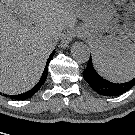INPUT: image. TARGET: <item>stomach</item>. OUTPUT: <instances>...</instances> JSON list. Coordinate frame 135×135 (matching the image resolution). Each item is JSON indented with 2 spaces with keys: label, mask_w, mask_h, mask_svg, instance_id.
<instances>
[{
  "label": "stomach",
  "mask_w": 135,
  "mask_h": 135,
  "mask_svg": "<svg viewBox=\"0 0 135 135\" xmlns=\"http://www.w3.org/2000/svg\"><path fill=\"white\" fill-rule=\"evenodd\" d=\"M83 20L82 35L93 57L117 63L135 56L133 0H63Z\"/></svg>",
  "instance_id": "stomach-1"
}]
</instances>
